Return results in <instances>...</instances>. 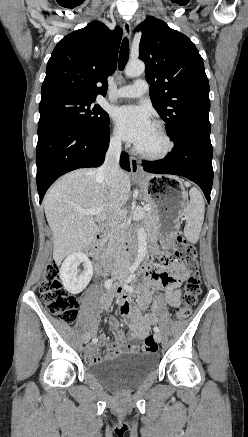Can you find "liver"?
<instances>
[{
    "mask_svg": "<svg viewBox=\"0 0 248 437\" xmlns=\"http://www.w3.org/2000/svg\"><path fill=\"white\" fill-rule=\"evenodd\" d=\"M130 188L129 174L123 170L116 192H111L104 179L97 177V169L85 168L64 175L48 190L43 205L53 233V259L57 264L92 244L99 230L96 222L118 215ZM94 208L102 209L96 218L80 213Z\"/></svg>",
    "mask_w": 248,
    "mask_h": 437,
    "instance_id": "1",
    "label": "liver"
}]
</instances>
